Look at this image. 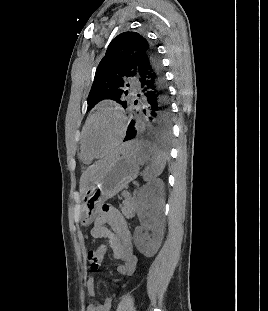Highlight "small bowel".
<instances>
[{"mask_svg": "<svg viewBox=\"0 0 268 311\" xmlns=\"http://www.w3.org/2000/svg\"><path fill=\"white\" fill-rule=\"evenodd\" d=\"M91 236L102 239L112 251L113 258L120 262L116 271L124 277L131 276L137 264L134 254L131 233L122 214L114 207L104 205L91 229ZM89 302L86 311H110L113 296L106 297L102 302L96 300L95 283L93 276L86 282Z\"/></svg>", "mask_w": 268, "mask_h": 311, "instance_id": "obj_1", "label": "small bowel"}]
</instances>
